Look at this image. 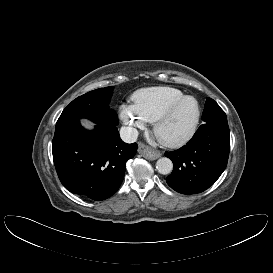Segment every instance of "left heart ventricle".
Masks as SVG:
<instances>
[{"mask_svg": "<svg viewBox=\"0 0 273 273\" xmlns=\"http://www.w3.org/2000/svg\"><path fill=\"white\" fill-rule=\"evenodd\" d=\"M196 116V105L193 101L187 100L179 105L172 115L163 123L160 129V136L173 140L184 135L192 125Z\"/></svg>", "mask_w": 273, "mask_h": 273, "instance_id": "b2bd125f", "label": "left heart ventricle"}]
</instances>
